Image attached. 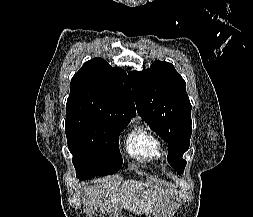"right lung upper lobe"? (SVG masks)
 <instances>
[{
	"mask_svg": "<svg viewBox=\"0 0 253 217\" xmlns=\"http://www.w3.org/2000/svg\"><path fill=\"white\" fill-rule=\"evenodd\" d=\"M128 120L135 115L130 78L102 58L84 63L71 79L66 114Z\"/></svg>",
	"mask_w": 253,
	"mask_h": 217,
	"instance_id": "cb5924a9",
	"label": "right lung upper lobe"
}]
</instances>
